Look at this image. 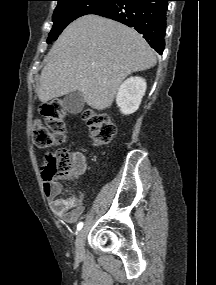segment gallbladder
<instances>
[{
    "mask_svg": "<svg viewBox=\"0 0 216 285\" xmlns=\"http://www.w3.org/2000/svg\"><path fill=\"white\" fill-rule=\"evenodd\" d=\"M64 107L68 112L77 114L84 107V98L81 92L75 91L67 94L63 100Z\"/></svg>",
    "mask_w": 216,
    "mask_h": 285,
    "instance_id": "obj_1",
    "label": "gallbladder"
}]
</instances>
